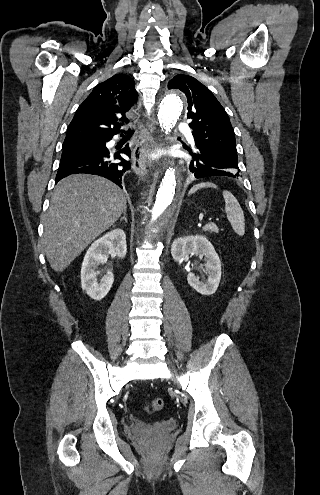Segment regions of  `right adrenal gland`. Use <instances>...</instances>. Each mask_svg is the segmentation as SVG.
Listing matches in <instances>:
<instances>
[{"label":"right adrenal gland","instance_id":"obj_1","mask_svg":"<svg viewBox=\"0 0 320 495\" xmlns=\"http://www.w3.org/2000/svg\"><path fill=\"white\" fill-rule=\"evenodd\" d=\"M125 221L126 223H128V220H127V217H126V211L123 212V217L120 218V222L121 221Z\"/></svg>","mask_w":320,"mask_h":495}]
</instances>
